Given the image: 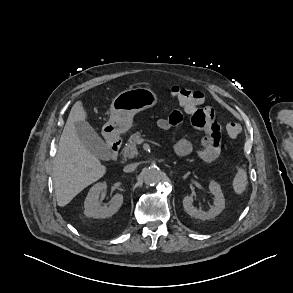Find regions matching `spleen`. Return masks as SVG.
<instances>
[{"label": "spleen", "instance_id": "obj_1", "mask_svg": "<svg viewBox=\"0 0 293 293\" xmlns=\"http://www.w3.org/2000/svg\"><path fill=\"white\" fill-rule=\"evenodd\" d=\"M233 190L236 194H242L247 187V174L246 170L242 167H239L237 173L232 182Z\"/></svg>", "mask_w": 293, "mask_h": 293}]
</instances>
